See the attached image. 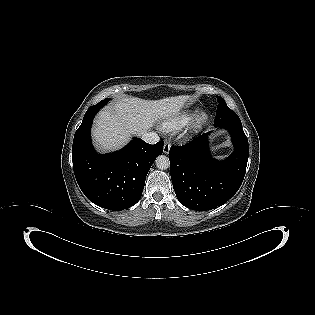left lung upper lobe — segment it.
<instances>
[{
    "label": "left lung upper lobe",
    "mask_w": 315,
    "mask_h": 315,
    "mask_svg": "<svg viewBox=\"0 0 315 315\" xmlns=\"http://www.w3.org/2000/svg\"><path fill=\"white\" fill-rule=\"evenodd\" d=\"M217 101L218 107L216 111L214 126L220 127L227 124L241 125V121L238 115L233 110L228 108L226 102L220 96H217Z\"/></svg>",
    "instance_id": "obj_1"
}]
</instances>
